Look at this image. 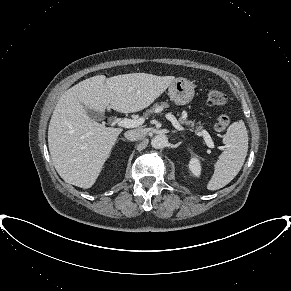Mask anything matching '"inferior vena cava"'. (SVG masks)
<instances>
[{
    "instance_id": "obj_1",
    "label": "inferior vena cava",
    "mask_w": 291,
    "mask_h": 291,
    "mask_svg": "<svg viewBox=\"0 0 291 291\" xmlns=\"http://www.w3.org/2000/svg\"><path fill=\"white\" fill-rule=\"evenodd\" d=\"M124 136L130 141L142 140L146 137V131L144 129L129 130L124 133Z\"/></svg>"
}]
</instances>
